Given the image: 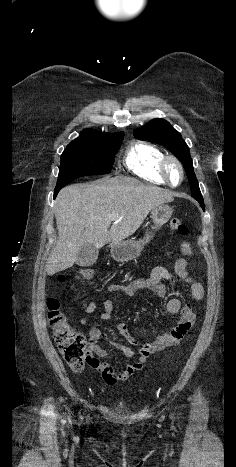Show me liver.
I'll list each match as a JSON object with an SVG mask.
<instances>
[{
  "label": "liver",
  "mask_w": 236,
  "mask_h": 467,
  "mask_svg": "<svg viewBox=\"0 0 236 467\" xmlns=\"http://www.w3.org/2000/svg\"><path fill=\"white\" fill-rule=\"evenodd\" d=\"M173 200L168 190L126 177L65 187L55 200L58 238L46 264L47 274L72 267L86 243L99 249L123 241L154 207Z\"/></svg>",
  "instance_id": "1"
}]
</instances>
